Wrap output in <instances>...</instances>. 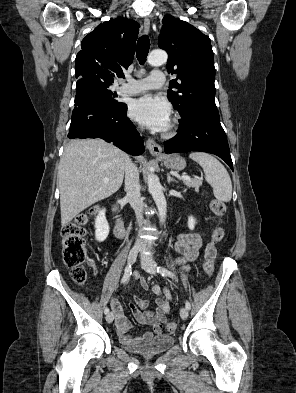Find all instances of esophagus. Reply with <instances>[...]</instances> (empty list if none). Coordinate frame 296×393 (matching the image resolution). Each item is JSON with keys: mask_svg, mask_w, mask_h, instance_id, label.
<instances>
[{"mask_svg": "<svg viewBox=\"0 0 296 393\" xmlns=\"http://www.w3.org/2000/svg\"><path fill=\"white\" fill-rule=\"evenodd\" d=\"M144 29L145 31L148 33L150 30V20L149 18L145 17L144 19ZM146 147L149 150V152L154 155V156H158L161 154L162 152V147L157 144L153 139L149 138L146 141Z\"/></svg>", "mask_w": 296, "mask_h": 393, "instance_id": "esophagus-1", "label": "esophagus"}]
</instances>
